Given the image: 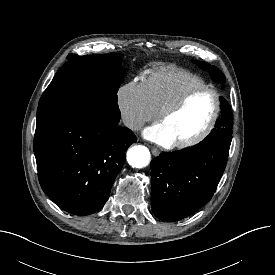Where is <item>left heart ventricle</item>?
Wrapping results in <instances>:
<instances>
[{"label": "left heart ventricle", "instance_id": "1", "mask_svg": "<svg viewBox=\"0 0 275 275\" xmlns=\"http://www.w3.org/2000/svg\"><path fill=\"white\" fill-rule=\"evenodd\" d=\"M215 105L212 93H197L176 113L161 123L167 128L174 141L189 139L198 134L208 123Z\"/></svg>", "mask_w": 275, "mask_h": 275}]
</instances>
